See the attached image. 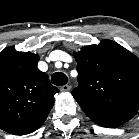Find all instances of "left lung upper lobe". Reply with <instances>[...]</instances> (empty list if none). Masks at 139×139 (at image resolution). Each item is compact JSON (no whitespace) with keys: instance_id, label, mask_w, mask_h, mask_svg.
<instances>
[{"instance_id":"5c2ea615","label":"left lung upper lobe","mask_w":139,"mask_h":139,"mask_svg":"<svg viewBox=\"0 0 139 139\" xmlns=\"http://www.w3.org/2000/svg\"><path fill=\"white\" fill-rule=\"evenodd\" d=\"M78 87L73 97L85 113L139 109V59L111 40L74 53Z\"/></svg>"}]
</instances>
